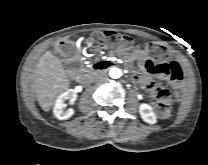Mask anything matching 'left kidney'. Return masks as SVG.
<instances>
[{
  "label": "left kidney",
  "instance_id": "obj_1",
  "mask_svg": "<svg viewBox=\"0 0 208 165\" xmlns=\"http://www.w3.org/2000/svg\"><path fill=\"white\" fill-rule=\"evenodd\" d=\"M139 113L143 121L148 124H155L157 121L156 115L153 112V109L150 105L146 103L140 104Z\"/></svg>",
  "mask_w": 208,
  "mask_h": 165
}]
</instances>
